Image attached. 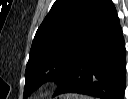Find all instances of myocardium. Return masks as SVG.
<instances>
[{"label":"myocardium","instance_id":"f54148a6","mask_svg":"<svg viewBox=\"0 0 128 99\" xmlns=\"http://www.w3.org/2000/svg\"><path fill=\"white\" fill-rule=\"evenodd\" d=\"M48 87H49V83H43L39 86L38 90L39 92L43 93L47 91Z\"/></svg>","mask_w":128,"mask_h":99}]
</instances>
